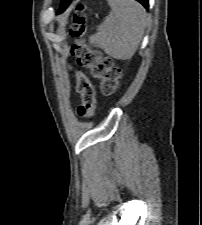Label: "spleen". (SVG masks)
I'll return each instance as SVG.
<instances>
[{
	"mask_svg": "<svg viewBox=\"0 0 202 225\" xmlns=\"http://www.w3.org/2000/svg\"><path fill=\"white\" fill-rule=\"evenodd\" d=\"M107 1L111 11L89 42L115 59H130L143 38L148 14L135 0Z\"/></svg>",
	"mask_w": 202,
	"mask_h": 225,
	"instance_id": "3e777b00",
	"label": "spleen"
}]
</instances>
